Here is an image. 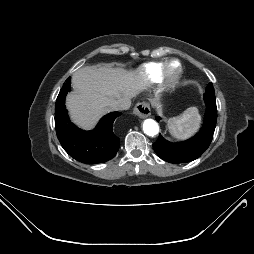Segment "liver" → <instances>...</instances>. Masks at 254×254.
Returning a JSON list of instances; mask_svg holds the SVG:
<instances>
[{
	"label": "liver",
	"instance_id": "1",
	"mask_svg": "<svg viewBox=\"0 0 254 254\" xmlns=\"http://www.w3.org/2000/svg\"><path fill=\"white\" fill-rule=\"evenodd\" d=\"M73 92L66 104L72 121L84 129H91L112 104L131 100L146 87L143 77L135 71L108 66L83 67L72 76Z\"/></svg>",
	"mask_w": 254,
	"mask_h": 254
}]
</instances>
